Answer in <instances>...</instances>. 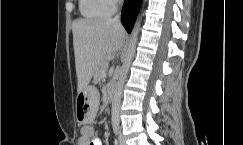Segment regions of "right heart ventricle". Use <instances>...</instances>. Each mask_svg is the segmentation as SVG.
Listing matches in <instances>:
<instances>
[{
  "label": "right heart ventricle",
  "instance_id": "right-heart-ventricle-1",
  "mask_svg": "<svg viewBox=\"0 0 243 145\" xmlns=\"http://www.w3.org/2000/svg\"><path fill=\"white\" fill-rule=\"evenodd\" d=\"M81 14L89 19H97L109 16L113 8L106 0H79Z\"/></svg>",
  "mask_w": 243,
  "mask_h": 145
}]
</instances>
